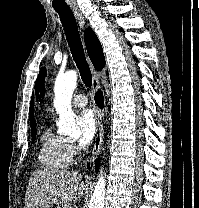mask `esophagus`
Returning <instances> with one entry per match:
<instances>
[{
  "mask_svg": "<svg viewBox=\"0 0 199 208\" xmlns=\"http://www.w3.org/2000/svg\"><path fill=\"white\" fill-rule=\"evenodd\" d=\"M74 15L78 21L79 27L81 30H84L86 27L85 18L83 15V12L80 8L74 7L73 9ZM90 67L92 72L95 74L96 70L94 66L90 62ZM100 86L99 79L94 76L93 78V86H92V92L93 95L98 91ZM94 112H95V118H96V135H95V142L92 150L91 155V161L94 162L97 156L99 155L101 144H102V138H103V125H102V113L99 109V107L94 103Z\"/></svg>",
  "mask_w": 199,
  "mask_h": 208,
  "instance_id": "1",
  "label": "esophagus"
}]
</instances>
